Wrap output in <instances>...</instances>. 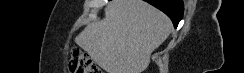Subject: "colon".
Wrapping results in <instances>:
<instances>
[{"mask_svg":"<svg viewBox=\"0 0 244 73\" xmlns=\"http://www.w3.org/2000/svg\"><path fill=\"white\" fill-rule=\"evenodd\" d=\"M68 70L70 73H102L91 57L80 49L72 51L68 61Z\"/></svg>","mask_w":244,"mask_h":73,"instance_id":"5ec220e1","label":"colon"}]
</instances>
